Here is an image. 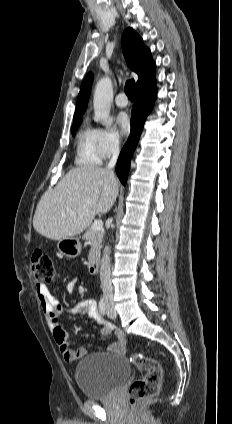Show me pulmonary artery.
<instances>
[{
	"instance_id": "e3ab8cb5",
	"label": "pulmonary artery",
	"mask_w": 232,
	"mask_h": 424,
	"mask_svg": "<svg viewBox=\"0 0 232 424\" xmlns=\"http://www.w3.org/2000/svg\"><path fill=\"white\" fill-rule=\"evenodd\" d=\"M115 103L118 107L124 108L128 105V99L125 93H120L115 98Z\"/></svg>"
}]
</instances>
